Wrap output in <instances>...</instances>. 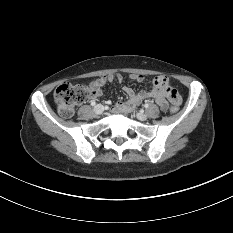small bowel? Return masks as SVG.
<instances>
[{
    "label": "small bowel",
    "mask_w": 233,
    "mask_h": 233,
    "mask_svg": "<svg viewBox=\"0 0 233 233\" xmlns=\"http://www.w3.org/2000/svg\"><path fill=\"white\" fill-rule=\"evenodd\" d=\"M130 79L135 82H142L144 77L140 74L130 75ZM112 81H123V76L115 73L108 76H101L93 80L90 85L89 99L94 101L95 99L103 96V87L107 82ZM174 89L168 79L164 76H158L153 81V88L151 90H143L140 92H135L132 88L125 86L123 88L124 93L127 95L128 99L126 101H118L113 111H121L126 114L131 113L133 110L138 107L141 102L145 99H154L155 102L159 105L161 110L165 111L168 108V98L172 102V99L176 98L175 92H169V90ZM181 102V98H179Z\"/></svg>",
    "instance_id": "c3829d8e"
}]
</instances>
